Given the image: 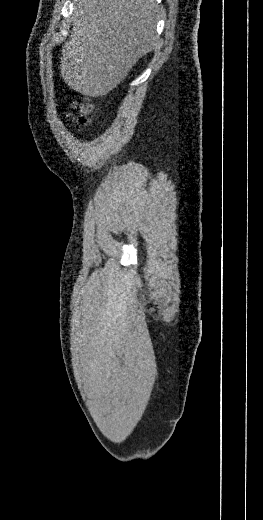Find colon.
Segmentation results:
<instances>
[{
    "label": "colon",
    "mask_w": 263,
    "mask_h": 520,
    "mask_svg": "<svg viewBox=\"0 0 263 520\" xmlns=\"http://www.w3.org/2000/svg\"><path fill=\"white\" fill-rule=\"evenodd\" d=\"M72 108L73 111L70 115L75 119L77 125L82 129L87 127L90 122L89 115L92 111V104L88 100H83L74 102Z\"/></svg>",
    "instance_id": "obj_1"
}]
</instances>
